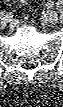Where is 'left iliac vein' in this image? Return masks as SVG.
<instances>
[{"label":"left iliac vein","instance_id":"4c4485c4","mask_svg":"<svg viewBox=\"0 0 63 107\" xmlns=\"http://www.w3.org/2000/svg\"><path fill=\"white\" fill-rule=\"evenodd\" d=\"M47 19H48L49 23L55 25L58 22V15L55 11H52V10L48 11Z\"/></svg>","mask_w":63,"mask_h":107}]
</instances>
